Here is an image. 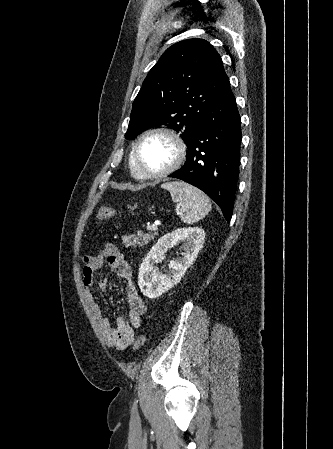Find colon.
I'll list each match as a JSON object with an SVG mask.
<instances>
[{"instance_id": "5ec220e1", "label": "colon", "mask_w": 333, "mask_h": 449, "mask_svg": "<svg viewBox=\"0 0 333 449\" xmlns=\"http://www.w3.org/2000/svg\"><path fill=\"white\" fill-rule=\"evenodd\" d=\"M115 216H116L115 210L109 206H103V207L99 208V210L97 212V219L101 220V221H106V220L112 219ZM146 340H147V335L141 334L134 342L135 350H139L146 343Z\"/></svg>"}]
</instances>
